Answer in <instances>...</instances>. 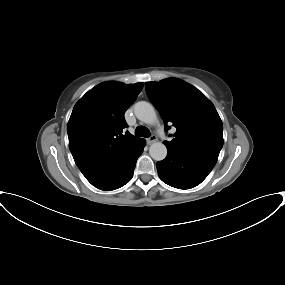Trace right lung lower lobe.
<instances>
[{"instance_id": "1", "label": "right lung lower lobe", "mask_w": 285, "mask_h": 285, "mask_svg": "<svg viewBox=\"0 0 285 285\" xmlns=\"http://www.w3.org/2000/svg\"><path fill=\"white\" fill-rule=\"evenodd\" d=\"M144 146L145 140L141 139L95 172L86 175V179L96 188L106 191L124 186L131 180Z\"/></svg>"}]
</instances>
